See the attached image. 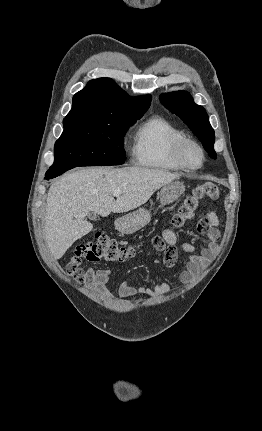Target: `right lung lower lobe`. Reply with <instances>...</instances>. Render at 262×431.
<instances>
[{
	"mask_svg": "<svg viewBox=\"0 0 262 431\" xmlns=\"http://www.w3.org/2000/svg\"><path fill=\"white\" fill-rule=\"evenodd\" d=\"M72 168H74V167H68V168L58 169V170L49 169L45 174V179L55 178V177L61 175L62 173L66 172L67 170L72 169Z\"/></svg>",
	"mask_w": 262,
	"mask_h": 431,
	"instance_id": "obj_1",
	"label": "right lung lower lobe"
}]
</instances>
